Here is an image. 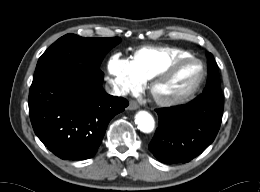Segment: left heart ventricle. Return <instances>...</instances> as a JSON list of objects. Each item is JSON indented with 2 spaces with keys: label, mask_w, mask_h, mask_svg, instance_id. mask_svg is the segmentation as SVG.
I'll list each match as a JSON object with an SVG mask.
<instances>
[{
  "label": "left heart ventricle",
  "mask_w": 260,
  "mask_h": 192,
  "mask_svg": "<svg viewBox=\"0 0 260 192\" xmlns=\"http://www.w3.org/2000/svg\"><path fill=\"white\" fill-rule=\"evenodd\" d=\"M199 66L196 64H187L176 70L169 78L159 83L154 92L157 96L166 98L182 93L199 76Z\"/></svg>",
  "instance_id": "1"
}]
</instances>
